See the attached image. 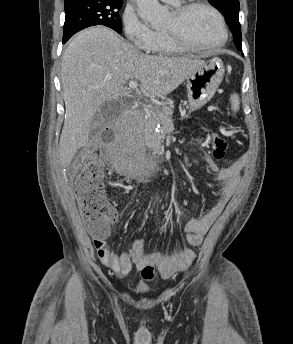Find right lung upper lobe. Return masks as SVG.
<instances>
[{
    "label": "right lung upper lobe",
    "instance_id": "right-lung-upper-lobe-1",
    "mask_svg": "<svg viewBox=\"0 0 293 344\" xmlns=\"http://www.w3.org/2000/svg\"><path fill=\"white\" fill-rule=\"evenodd\" d=\"M78 0H65V4L70 3V2H76Z\"/></svg>",
    "mask_w": 293,
    "mask_h": 344
}]
</instances>
